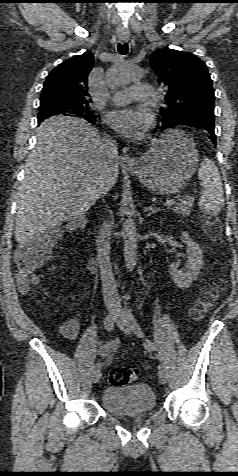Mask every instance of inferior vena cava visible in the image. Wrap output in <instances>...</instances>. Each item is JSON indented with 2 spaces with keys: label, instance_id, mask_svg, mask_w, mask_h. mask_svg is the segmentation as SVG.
I'll use <instances>...</instances> for the list:
<instances>
[{
  "label": "inferior vena cava",
  "instance_id": "inferior-vena-cava-1",
  "mask_svg": "<svg viewBox=\"0 0 238 476\" xmlns=\"http://www.w3.org/2000/svg\"><path fill=\"white\" fill-rule=\"evenodd\" d=\"M102 150L107 159L106 170L109 172L112 165L118 162V150L117 144L107 138L102 139L101 143ZM109 179L106 175L103 179V184L98 190V196H103L108 192ZM110 225L104 221L100 230L98 232L96 244H97V256L100 266L102 289L104 295V301L107 307L116 309L117 311L121 310V304L118 296L117 287L115 284V279L112 273L111 263H110Z\"/></svg>",
  "mask_w": 238,
  "mask_h": 476
}]
</instances>
